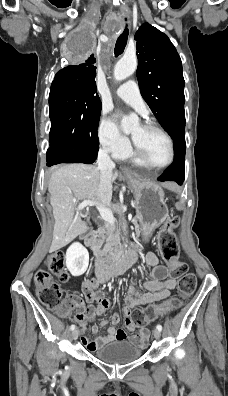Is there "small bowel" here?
<instances>
[{
  "label": "small bowel",
  "mask_w": 228,
  "mask_h": 396,
  "mask_svg": "<svg viewBox=\"0 0 228 396\" xmlns=\"http://www.w3.org/2000/svg\"><path fill=\"white\" fill-rule=\"evenodd\" d=\"M137 249L138 247L136 246L129 254L134 258V262L137 259ZM145 263L153 269L152 279L143 282L144 292H139L134 284L130 283L125 297V305L122 308V313L126 317L125 324L129 332L136 330V325L130 318L131 311L136 305H149L167 299L170 297L171 291L176 287V281L174 278L169 277L168 269L159 264L156 251H150L146 254ZM103 282L105 280L97 274L94 277L86 278L82 283V292L86 301L95 303L94 307L89 308L82 304L79 305V311L76 313L75 319L82 334L87 330V321L93 320L96 316H101L109 307L110 303L105 293L98 289V286ZM119 321L120 315L114 313L110 319H104L99 324H94L92 326L94 334H97L100 328H107V334L96 336L93 340L82 336V344L92 351L102 344L115 340H127L139 346H144L147 343L149 331L146 328L141 327L138 329L137 334L128 335L124 329L116 327Z\"/></svg>",
  "instance_id": "obj_1"
}]
</instances>
